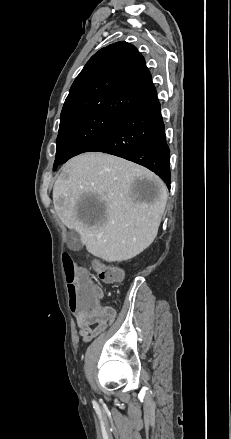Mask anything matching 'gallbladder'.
Returning <instances> with one entry per match:
<instances>
[{
    "label": "gallbladder",
    "mask_w": 231,
    "mask_h": 439,
    "mask_svg": "<svg viewBox=\"0 0 231 439\" xmlns=\"http://www.w3.org/2000/svg\"><path fill=\"white\" fill-rule=\"evenodd\" d=\"M72 245H73L74 248H77V249L80 248V245L76 242V239H73Z\"/></svg>",
    "instance_id": "1"
}]
</instances>
